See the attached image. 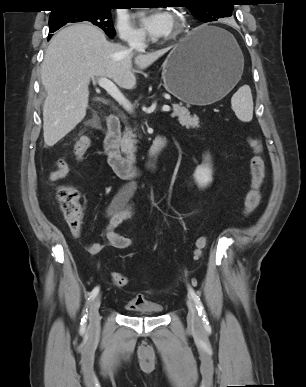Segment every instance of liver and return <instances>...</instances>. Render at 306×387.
<instances>
[{"label":"liver","instance_id":"6515ba94","mask_svg":"<svg viewBox=\"0 0 306 387\" xmlns=\"http://www.w3.org/2000/svg\"><path fill=\"white\" fill-rule=\"evenodd\" d=\"M169 48L145 53L109 42L103 31L78 23L55 35L45 52L41 81L47 92L43 106L44 142L53 146L86 116L90 80H113L119 87L136 85L134 64L146 69Z\"/></svg>","mask_w":306,"mask_h":387}]
</instances>
